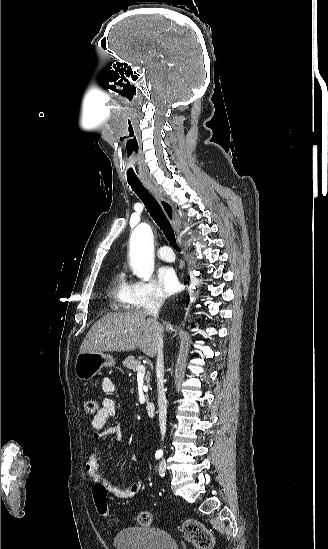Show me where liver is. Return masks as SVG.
<instances>
[{
  "mask_svg": "<svg viewBox=\"0 0 328 549\" xmlns=\"http://www.w3.org/2000/svg\"><path fill=\"white\" fill-rule=\"evenodd\" d=\"M144 311L108 313L99 319L87 333L80 353H104V351H134L140 349L147 357L157 353L158 335L174 331L169 323H158L153 317L146 319ZM165 325V327H164Z\"/></svg>",
  "mask_w": 328,
  "mask_h": 549,
  "instance_id": "liver-1",
  "label": "liver"
}]
</instances>
